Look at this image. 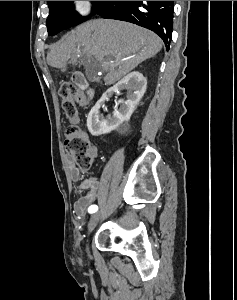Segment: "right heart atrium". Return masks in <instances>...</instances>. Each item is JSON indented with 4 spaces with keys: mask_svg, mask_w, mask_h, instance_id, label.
<instances>
[{
    "mask_svg": "<svg viewBox=\"0 0 237 300\" xmlns=\"http://www.w3.org/2000/svg\"><path fill=\"white\" fill-rule=\"evenodd\" d=\"M71 9L79 17L90 15L93 9L92 1H71Z\"/></svg>",
    "mask_w": 237,
    "mask_h": 300,
    "instance_id": "1",
    "label": "right heart atrium"
}]
</instances>
